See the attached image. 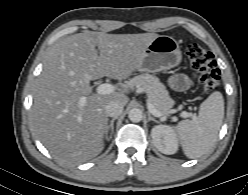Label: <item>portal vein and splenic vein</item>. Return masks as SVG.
<instances>
[{
	"instance_id": "1",
	"label": "portal vein and splenic vein",
	"mask_w": 248,
	"mask_h": 195,
	"mask_svg": "<svg viewBox=\"0 0 248 195\" xmlns=\"http://www.w3.org/2000/svg\"><path fill=\"white\" fill-rule=\"evenodd\" d=\"M115 89H116V88H115L114 85L108 84V83H104V84H100V85L96 88V92H97V94L106 95V94H111L112 92L115 91ZM84 103H85V99L82 98V99L80 100V104H81V105H84ZM147 107H148L149 112L152 113L154 116H156V117H161V116H162V114H161L159 111H157V110L155 109V107L153 106V104H152L149 100H148V102H147ZM180 116L183 117V118H187V117H191V116H193V115H192L191 113H188V112H186V111H183V112L180 114Z\"/></svg>"
}]
</instances>
